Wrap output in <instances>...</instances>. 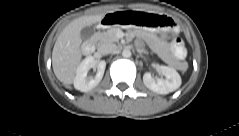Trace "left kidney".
<instances>
[{"label": "left kidney", "mask_w": 239, "mask_h": 136, "mask_svg": "<svg viewBox=\"0 0 239 136\" xmlns=\"http://www.w3.org/2000/svg\"><path fill=\"white\" fill-rule=\"evenodd\" d=\"M158 72L165 76V79L155 80L149 72L143 75V83L148 89L158 94H168L180 87L181 77L174 68L161 65Z\"/></svg>", "instance_id": "left-kidney-1"}]
</instances>
